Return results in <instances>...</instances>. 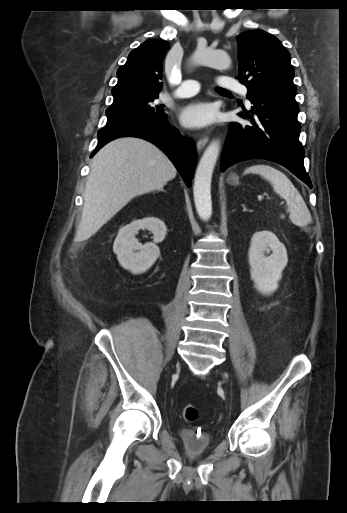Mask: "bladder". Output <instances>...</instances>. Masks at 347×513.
Here are the masks:
<instances>
[{"mask_svg": "<svg viewBox=\"0 0 347 513\" xmlns=\"http://www.w3.org/2000/svg\"><path fill=\"white\" fill-rule=\"evenodd\" d=\"M180 436L184 450L193 455L208 453L214 445L211 435L205 431H198L194 428H182Z\"/></svg>", "mask_w": 347, "mask_h": 513, "instance_id": "1", "label": "bladder"}]
</instances>
